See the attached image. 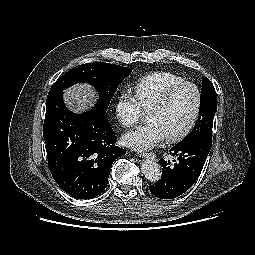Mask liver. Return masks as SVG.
I'll list each match as a JSON object with an SVG mask.
<instances>
[{"label":"liver","mask_w":255,"mask_h":255,"mask_svg":"<svg viewBox=\"0 0 255 255\" xmlns=\"http://www.w3.org/2000/svg\"><path fill=\"white\" fill-rule=\"evenodd\" d=\"M95 93L88 85H77L65 91V102L74 112H82L92 107Z\"/></svg>","instance_id":"6515ba94"}]
</instances>
